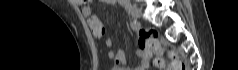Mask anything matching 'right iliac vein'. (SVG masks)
Masks as SVG:
<instances>
[{
  "mask_svg": "<svg viewBox=\"0 0 238 70\" xmlns=\"http://www.w3.org/2000/svg\"><path fill=\"white\" fill-rule=\"evenodd\" d=\"M125 8L134 19H139L142 16L141 10L134 5H126Z\"/></svg>",
  "mask_w": 238,
  "mask_h": 70,
  "instance_id": "right-iliac-vein-1",
  "label": "right iliac vein"
}]
</instances>
